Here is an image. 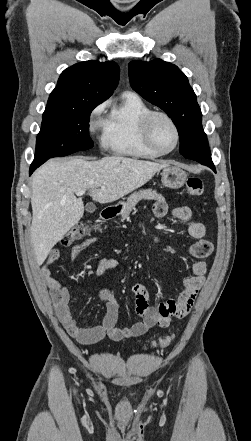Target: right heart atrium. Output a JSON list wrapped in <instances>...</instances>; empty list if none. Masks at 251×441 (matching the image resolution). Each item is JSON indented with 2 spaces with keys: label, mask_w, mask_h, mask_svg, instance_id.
Masks as SVG:
<instances>
[{
  "label": "right heart atrium",
  "mask_w": 251,
  "mask_h": 441,
  "mask_svg": "<svg viewBox=\"0 0 251 441\" xmlns=\"http://www.w3.org/2000/svg\"><path fill=\"white\" fill-rule=\"evenodd\" d=\"M105 106L106 105L102 103L92 110L89 119V130L91 133H95L98 129L104 127L102 114L104 112Z\"/></svg>",
  "instance_id": "obj_1"
}]
</instances>
